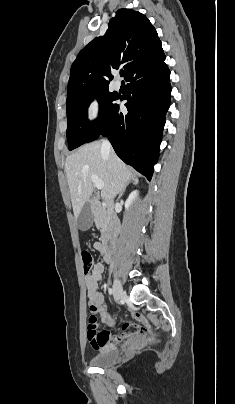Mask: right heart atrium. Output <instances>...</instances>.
<instances>
[{
    "instance_id": "right-heart-atrium-1",
    "label": "right heart atrium",
    "mask_w": 235,
    "mask_h": 404,
    "mask_svg": "<svg viewBox=\"0 0 235 404\" xmlns=\"http://www.w3.org/2000/svg\"><path fill=\"white\" fill-rule=\"evenodd\" d=\"M103 111V105L99 98L94 97L87 103L85 107V115L89 122H97L101 116Z\"/></svg>"
}]
</instances>
